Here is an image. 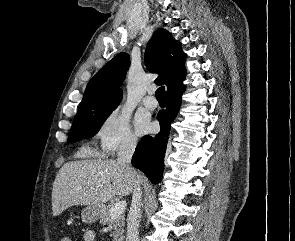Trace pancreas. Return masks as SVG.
Returning a JSON list of instances; mask_svg holds the SVG:
<instances>
[{"label": "pancreas", "mask_w": 295, "mask_h": 241, "mask_svg": "<svg viewBox=\"0 0 295 241\" xmlns=\"http://www.w3.org/2000/svg\"><path fill=\"white\" fill-rule=\"evenodd\" d=\"M113 206V204H110L109 206L104 208V211L100 217V223L103 225H112L114 230L112 234L114 241H123L125 217L123 214H121L118 217L112 219L110 210Z\"/></svg>", "instance_id": "cf45deb5"}]
</instances>
